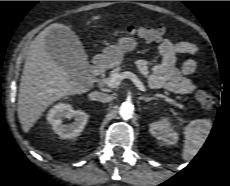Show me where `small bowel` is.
<instances>
[{"label":"small bowel","instance_id":"c3829d8e","mask_svg":"<svg viewBox=\"0 0 230 186\" xmlns=\"http://www.w3.org/2000/svg\"><path fill=\"white\" fill-rule=\"evenodd\" d=\"M160 62L151 64L146 60H139L137 68L148 80L152 88H164L179 95H186L194 91L195 84L188 78L197 68L194 59L185 60L180 67L176 66L178 54L194 55L198 52L195 44L187 41L172 42L164 39L159 44Z\"/></svg>","mask_w":230,"mask_h":186}]
</instances>
